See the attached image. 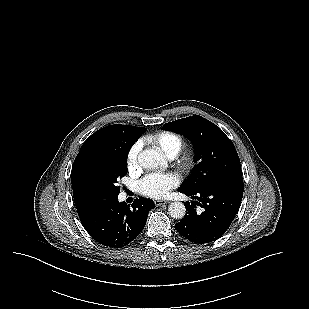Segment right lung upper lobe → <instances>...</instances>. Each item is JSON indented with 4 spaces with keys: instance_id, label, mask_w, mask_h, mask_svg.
Wrapping results in <instances>:
<instances>
[{
    "instance_id": "obj_1",
    "label": "right lung upper lobe",
    "mask_w": 309,
    "mask_h": 309,
    "mask_svg": "<svg viewBox=\"0 0 309 309\" xmlns=\"http://www.w3.org/2000/svg\"><path fill=\"white\" fill-rule=\"evenodd\" d=\"M145 129L128 125H110L99 129L84 142L71 171L73 197L77 211L100 200L93 189L90 175V166L95 154L121 137L133 138L136 142Z\"/></svg>"
}]
</instances>
